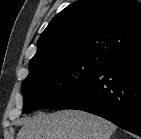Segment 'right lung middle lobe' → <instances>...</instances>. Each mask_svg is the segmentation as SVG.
<instances>
[{
  "instance_id": "obj_1",
  "label": "right lung middle lobe",
  "mask_w": 141,
  "mask_h": 139,
  "mask_svg": "<svg viewBox=\"0 0 141 139\" xmlns=\"http://www.w3.org/2000/svg\"><path fill=\"white\" fill-rule=\"evenodd\" d=\"M106 59L84 56L30 69L23 82V113L54 108L87 84Z\"/></svg>"
}]
</instances>
